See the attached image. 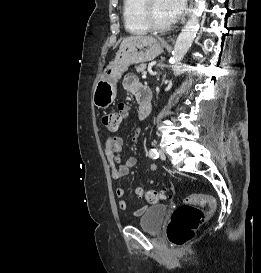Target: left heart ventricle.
Wrapping results in <instances>:
<instances>
[{
    "label": "left heart ventricle",
    "mask_w": 261,
    "mask_h": 273,
    "mask_svg": "<svg viewBox=\"0 0 261 273\" xmlns=\"http://www.w3.org/2000/svg\"><path fill=\"white\" fill-rule=\"evenodd\" d=\"M153 14L156 21L161 25L171 23L170 15L166 6L165 0H154Z\"/></svg>",
    "instance_id": "b2bd125f"
}]
</instances>
